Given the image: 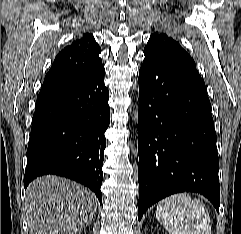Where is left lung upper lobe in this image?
Returning <instances> with one entry per match:
<instances>
[{
    "label": "left lung upper lobe",
    "mask_w": 241,
    "mask_h": 234,
    "mask_svg": "<svg viewBox=\"0 0 241 234\" xmlns=\"http://www.w3.org/2000/svg\"><path fill=\"white\" fill-rule=\"evenodd\" d=\"M144 50L155 52L159 56L178 65L196 69V65L190 55L178 42L166 34H152Z\"/></svg>",
    "instance_id": "1"
}]
</instances>
